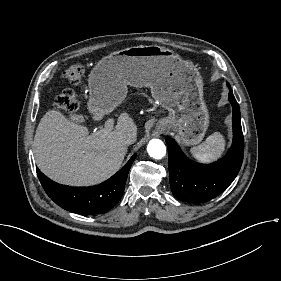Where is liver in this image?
Wrapping results in <instances>:
<instances>
[{
  "instance_id": "liver-1",
  "label": "liver",
  "mask_w": 281,
  "mask_h": 281,
  "mask_svg": "<svg viewBox=\"0 0 281 281\" xmlns=\"http://www.w3.org/2000/svg\"><path fill=\"white\" fill-rule=\"evenodd\" d=\"M107 109L92 112L100 121ZM137 131L127 113L118 117L115 129L89 135L86 126L76 124L58 111H48L41 118L34 137V155L39 169L55 182L70 186H92L117 172L127 153L119 135Z\"/></svg>"
}]
</instances>
